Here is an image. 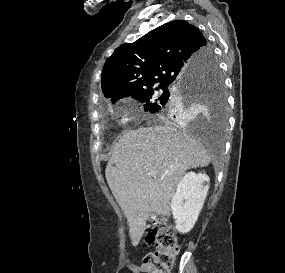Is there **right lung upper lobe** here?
<instances>
[{
  "label": "right lung upper lobe",
  "instance_id": "cb5924a9",
  "mask_svg": "<svg viewBox=\"0 0 285 273\" xmlns=\"http://www.w3.org/2000/svg\"><path fill=\"white\" fill-rule=\"evenodd\" d=\"M210 51L200 30L184 20L165 23L137 41L118 47L106 61L101 87L113 103L160 85L172 86Z\"/></svg>",
  "mask_w": 285,
  "mask_h": 273
}]
</instances>
